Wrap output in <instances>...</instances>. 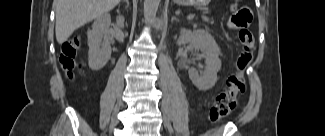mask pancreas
<instances>
[{"label": "pancreas", "mask_w": 325, "mask_h": 136, "mask_svg": "<svg viewBox=\"0 0 325 136\" xmlns=\"http://www.w3.org/2000/svg\"><path fill=\"white\" fill-rule=\"evenodd\" d=\"M198 18L208 20V19L211 18V13L210 12H199L198 13Z\"/></svg>", "instance_id": "cf45deb5"}]
</instances>
